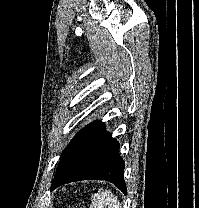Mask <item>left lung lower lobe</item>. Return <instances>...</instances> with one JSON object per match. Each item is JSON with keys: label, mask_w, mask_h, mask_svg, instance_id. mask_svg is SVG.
Returning <instances> with one entry per match:
<instances>
[{"label": "left lung lower lobe", "mask_w": 199, "mask_h": 208, "mask_svg": "<svg viewBox=\"0 0 199 208\" xmlns=\"http://www.w3.org/2000/svg\"><path fill=\"white\" fill-rule=\"evenodd\" d=\"M119 143L97 121L80 130L63 151L51 190L79 180H107L126 194Z\"/></svg>", "instance_id": "left-lung-lower-lobe-1"}]
</instances>
